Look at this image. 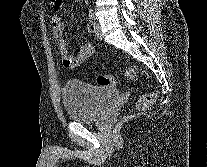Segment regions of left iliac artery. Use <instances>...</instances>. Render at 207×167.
<instances>
[{
  "instance_id": "obj_1",
  "label": "left iliac artery",
  "mask_w": 207,
  "mask_h": 167,
  "mask_svg": "<svg viewBox=\"0 0 207 167\" xmlns=\"http://www.w3.org/2000/svg\"><path fill=\"white\" fill-rule=\"evenodd\" d=\"M88 17H89V22L93 25L95 22V15L92 8L89 9Z\"/></svg>"
}]
</instances>
